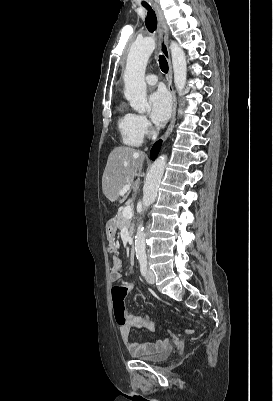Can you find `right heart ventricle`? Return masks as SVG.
<instances>
[{"instance_id":"e07e8e85","label":"right heart ventricle","mask_w":273,"mask_h":401,"mask_svg":"<svg viewBox=\"0 0 273 401\" xmlns=\"http://www.w3.org/2000/svg\"><path fill=\"white\" fill-rule=\"evenodd\" d=\"M117 112V125L123 142L129 146H139L142 143V136L136 130L134 115L127 111L124 103H119Z\"/></svg>"}]
</instances>
